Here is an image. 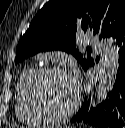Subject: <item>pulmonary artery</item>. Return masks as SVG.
I'll list each match as a JSON object with an SVG mask.
<instances>
[{"instance_id": "e3ab8cb5", "label": "pulmonary artery", "mask_w": 125, "mask_h": 128, "mask_svg": "<svg viewBox=\"0 0 125 128\" xmlns=\"http://www.w3.org/2000/svg\"><path fill=\"white\" fill-rule=\"evenodd\" d=\"M88 44L94 48H100L102 45L101 42L96 37H89Z\"/></svg>"}]
</instances>
